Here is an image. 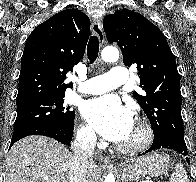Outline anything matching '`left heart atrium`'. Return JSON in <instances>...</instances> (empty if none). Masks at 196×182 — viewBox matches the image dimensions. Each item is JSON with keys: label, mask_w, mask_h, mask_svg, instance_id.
I'll use <instances>...</instances> for the list:
<instances>
[{"label": "left heart atrium", "mask_w": 196, "mask_h": 182, "mask_svg": "<svg viewBox=\"0 0 196 182\" xmlns=\"http://www.w3.org/2000/svg\"><path fill=\"white\" fill-rule=\"evenodd\" d=\"M82 114L102 137L116 143L126 138L134 123L132 112L115 95L86 101Z\"/></svg>", "instance_id": "39dd6f15"}]
</instances>
